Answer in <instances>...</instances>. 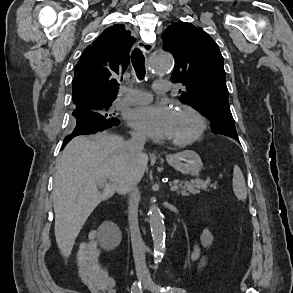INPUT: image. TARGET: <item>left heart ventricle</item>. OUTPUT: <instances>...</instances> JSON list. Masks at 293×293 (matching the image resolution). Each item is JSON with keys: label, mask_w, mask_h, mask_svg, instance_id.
<instances>
[{"label": "left heart ventricle", "mask_w": 293, "mask_h": 293, "mask_svg": "<svg viewBox=\"0 0 293 293\" xmlns=\"http://www.w3.org/2000/svg\"><path fill=\"white\" fill-rule=\"evenodd\" d=\"M196 121L188 114L174 112L169 140L184 139L191 136L196 129Z\"/></svg>", "instance_id": "1"}]
</instances>
